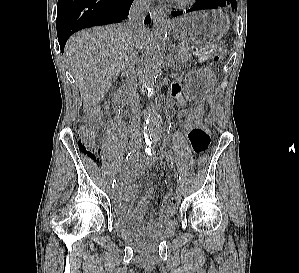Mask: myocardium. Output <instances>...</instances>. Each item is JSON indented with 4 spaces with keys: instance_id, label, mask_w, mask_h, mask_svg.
Masks as SVG:
<instances>
[{
    "instance_id": "obj_1",
    "label": "myocardium",
    "mask_w": 299,
    "mask_h": 273,
    "mask_svg": "<svg viewBox=\"0 0 299 273\" xmlns=\"http://www.w3.org/2000/svg\"><path fill=\"white\" fill-rule=\"evenodd\" d=\"M178 8L185 9L191 6L196 0H172Z\"/></svg>"
}]
</instances>
